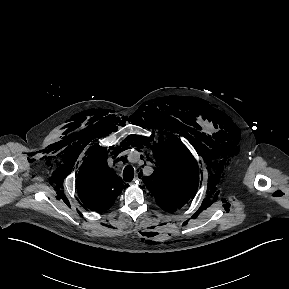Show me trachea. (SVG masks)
I'll list each match as a JSON object with an SVG mask.
<instances>
[{
    "label": "trachea",
    "mask_w": 289,
    "mask_h": 289,
    "mask_svg": "<svg viewBox=\"0 0 289 289\" xmlns=\"http://www.w3.org/2000/svg\"><path fill=\"white\" fill-rule=\"evenodd\" d=\"M134 177V169L131 166H126L123 171V179L126 182H130Z\"/></svg>",
    "instance_id": "3493384b"
}]
</instances>
